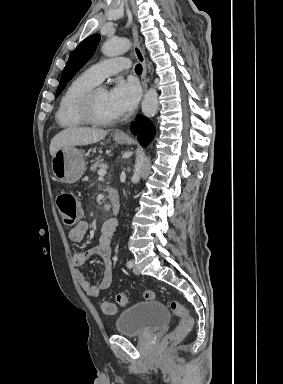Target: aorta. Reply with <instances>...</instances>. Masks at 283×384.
<instances>
[{
  "label": "aorta",
  "mask_w": 283,
  "mask_h": 384,
  "mask_svg": "<svg viewBox=\"0 0 283 384\" xmlns=\"http://www.w3.org/2000/svg\"><path fill=\"white\" fill-rule=\"evenodd\" d=\"M131 47L128 39L120 38L107 40L102 46V52L107 57H114L127 52ZM158 110V93L154 87H151L142 101V112L146 117H153ZM145 153L141 151L136 157L132 181L139 182L141 172L144 166Z\"/></svg>",
  "instance_id": "762f6f07"
}]
</instances>
